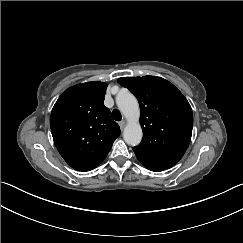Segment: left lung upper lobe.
Segmentation results:
<instances>
[{
  "mask_svg": "<svg viewBox=\"0 0 243 243\" xmlns=\"http://www.w3.org/2000/svg\"><path fill=\"white\" fill-rule=\"evenodd\" d=\"M140 105L141 143L133 147L138 160L156 169L174 166L187 150L193 127L189 102L169 81L155 76L123 77Z\"/></svg>",
  "mask_w": 243,
  "mask_h": 243,
  "instance_id": "left-lung-upper-lobe-1",
  "label": "left lung upper lobe"
}]
</instances>
